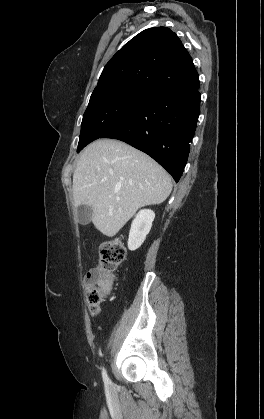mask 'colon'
<instances>
[{"label": "colon", "mask_w": 264, "mask_h": 419, "mask_svg": "<svg viewBox=\"0 0 264 419\" xmlns=\"http://www.w3.org/2000/svg\"><path fill=\"white\" fill-rule=\"evenodd\" d=\"M126 249L122 242L114 239L103 243L99 249V268L90 271L85 278L89 310L97 314L103 299L113 287V272L124 261Z\"/></svg>", "instance_id": "obj_1"}]
</instances>
